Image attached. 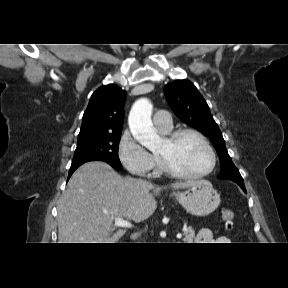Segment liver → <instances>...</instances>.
I'll return each mask as SVG.
<instances>
[{
  "mask_svg": "<svg viewBox=\"0 0 288 288\" xmlns=\"http://www.w3.org/2000/svg\"><path fill=\"white\" fill-rule=\"evenodd\" d=\"M198 183L208 182L186 181L171 188L185 189ZM161 189L142 179L123 178L104 162L81 165L58 205V243H115L126 230L111 234L113 217L136 223L148 219L157 208L154 196Z\"/></svg>",
  "mask_w": 288,
  "mask_h": 288,
  "instance_id": "liver-1",
  "label": "liver"
}]
</instances>
